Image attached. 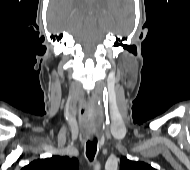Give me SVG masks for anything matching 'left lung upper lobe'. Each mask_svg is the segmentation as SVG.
Instances as JSON below:
<instances>
[{
    "mask_svg": "<svg viewBox=\"0 0 190 170\" xmlns=\"http://www.w3.org/2000/svg\"><path fill=\"white\" fill-rule=\"evenodd\" d=\"M120 170H155L149 164L144 162H135L122 157L120 160Z\"/></svg>",
    "mask_w": 190,
    "mask_h": 170,
    "instance_id": "obj_1",
    "label": "left lung upper lobe"
}]
</instances>
